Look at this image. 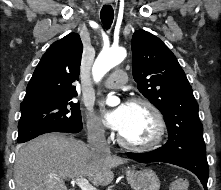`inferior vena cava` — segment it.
Returning a JSON list of instances; mask_svg holds the SVG:
<instances>
[{
  "mask_svg": "<svg viewBox=\"0 0 221 190\" xmlns=\"http://www.w3.org/2000/svg\"><path fill=\"white\" fill-rule=\"evenodd\" d=\"M89 148L92 153L110 155V148L106 143L105 131L101 127H95L88 134Z\"/></svg>",
  "mask_w": 221,
  "mask_h": 190,
  "instance_id": "602c4592",
  "label": "inferior vena cava"
}]
</instances>
